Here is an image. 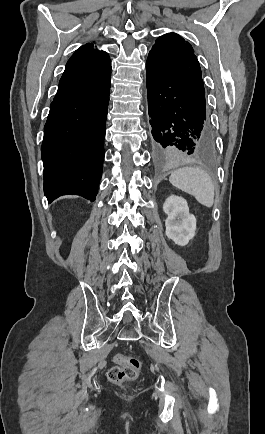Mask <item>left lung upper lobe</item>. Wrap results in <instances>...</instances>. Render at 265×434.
Segmentation results:
<instances>
[{
    "label": "left lung upper lobe",
    "mask_w": 265,
    "mask_h": 434,
    "mask_svg": "<svg viewBox=\"0 0 265 434\" xmlns=\"http://www.w3.org/2000/svg\"><path fill=\"white\" fill-rule=\"evenodd\" d=\"M177 75L186 86L205 102V89L202 72L192 46L175 34L167 33L159 37L149 52Z\"/></svg>",
    "instance_id": "left-lung-upper-lobe-1"
}]
</instances>
